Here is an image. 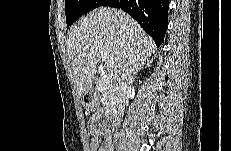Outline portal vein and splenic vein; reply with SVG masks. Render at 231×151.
Segmentation results:
<instances>
[{
  "instance_id": "obj_1",
  "label": "portal vein and splenic vein",
  "mask_w": 231,
  "mask_h": 151,
  "mask_svg": "<svg viewBox=\"0 0 231 151\" xmlns=\"http://www.w3.org/2000/svg\"><path fill=\"white\" fill-rule=\"evenodd\" d=\"M101 58L105 62V65L107 67H113L114 61L109 57V54L107 51H102L101 52Z\"/></svg>"
}]
</instances>
